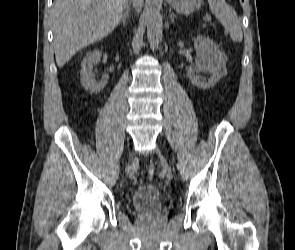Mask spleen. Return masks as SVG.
I'll return each mask as SVG.
<instances>
[{
	"instance_id": "spleen-1",
	"label": "spleen",
	"mask_w": 295,
	"mask_h": 250,
	"mask_svg": "<svg viewBox=\"0 0 295 250\" xmlns=\"http://www.w3.org/2000/svg\"><path fill=\"white\" fill-rule=\"evenodd\" d=\"M209 8L230 33L232 41L240 43L243 39L240 21L235 10L225 0H208Z\"/></svg>"
}]
</instances>
